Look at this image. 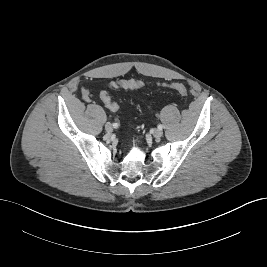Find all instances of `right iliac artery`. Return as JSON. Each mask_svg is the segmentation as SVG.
<instances>
[{
    "label": "right iliac artery",
    "mask_w": 267,
    "mask_h": 267,
    "mask_svg": "<svg viewBox=\"0 0 267 267\" xmlns=\"http://www.w3.org/2000/svg\"><path fill=\"white\" fill-rule=\"evenodd\" d=\"M113 127L117 128L118 127V123H113Z\"/></svg>",
    "instance_id": "obj_1"
}]
</instances>
